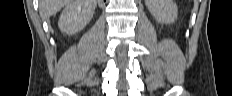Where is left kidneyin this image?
Masks as SVG:
<instances>
[{
    "label": "left kidney",
    "instance_id": "obj_1",
    "mask_svg": "<svg viewBox=\"0 0 232 96\" xmlns=\"http://www.w3.org/2000/svg\"><path fill=\"white\" fill-rule=\"evenodd\" d=\"M151 15L162 24L173 23L178 15V9L173 0H145Z\"/></svg>",
    "mask_w": 232,
    "mask_h": 96
}]
</instances>
